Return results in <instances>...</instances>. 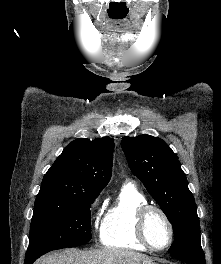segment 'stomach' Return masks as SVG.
Returning a JSON list of instances; mask_svg holds the SVG:
<instances>
[{
	"label": "stomach",
	"instance_id": "0dacf381",
	"mask_svg": "<svg viewBox=\"0 0 221 264\" xmlns=\"http://www.w3.org/2000/svg\"><path fill=\"white\" fill-rule=\"evenodd\" d=\"M149 264H157V263H155V262H151V263H149Z\"/></svg>",
	"mask_w": 221,
	"mask_h": 264
}]
</instances>
